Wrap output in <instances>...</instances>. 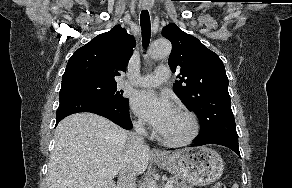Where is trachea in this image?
I'll list each match as a JSON object with an SVG mask.
<instances>
[{
	"label": "trachea",
	"mask_w": 292,
	"mask_h": 188,
	"mask_svg": "<svg viewBox=\"0 0 292 188\" xmlns=\"http://www.w3.org/2000/svg\"><path fill=\"white\" fill-rule=\"evenodd\" d=\"M140 25L142 30V44L146 48L150 43L151 23L150 16L147 10H143L140 15Z\"/></svg>",
	"instance_id": "3493384b"
}]
</instances>
